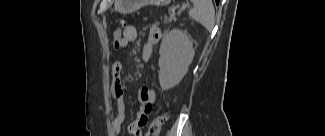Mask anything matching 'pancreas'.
Instances as JSON below:
<instances>
[{
  "label": "pancreas",
  "instance_id": "obj_1",
  "mask_svg": "<svg viewBox=\"0 0 325 136\" xmlns=\"http://www.w3.org/2000/svg\"><path fill=\"white\" fill-rule=\"evenodd\" d=\"M164 18L165 19H174L175 16H170V12H165L164 13ZM165 19H162V22H165Z\"/></svg>",
  "mask_w": 325,
  "mask_h": 136
}]
</instances>
